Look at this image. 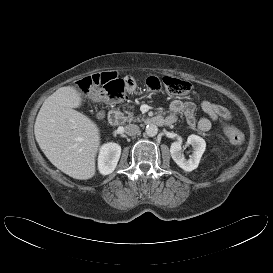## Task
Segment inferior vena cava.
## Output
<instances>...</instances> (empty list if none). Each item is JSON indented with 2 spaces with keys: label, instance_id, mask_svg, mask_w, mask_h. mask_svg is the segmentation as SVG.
<instances>
[{
  "label": "inferior vena cava",
  "instance_id": "obj_1",
  "mask_svg": "<svg viewBox=\"0 0 273 273\" xmlns=\"http://www.w3.org/2000/svg\"><path fill=\"white\" fill-rule=\"evenodd\" d=\"M139 131H140V128L136 124H129V125L125 126V132H126V134H128L130 136L138 134Z\"/></svg>",
  "mask_w": 273,
  "mask_h": 273
}]
</instances>
